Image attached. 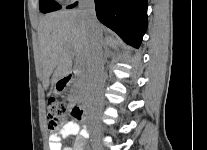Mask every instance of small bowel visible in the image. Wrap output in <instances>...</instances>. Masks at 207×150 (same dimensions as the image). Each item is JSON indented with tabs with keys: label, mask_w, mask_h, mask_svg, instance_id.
<instances>
[{
	"label": "small bowel",
	"mask_w": 207,
	"mask_h": 150,
	"mask_svg": "<svg viewBox=\"0 0 207 150\" xmlns=\"http://www.w3.org/2000/svg\"><path fill=\"white\" fill-rule=\"evenodd\" d=\"M74 136L75 141L72 146H66L65 140ZM89 138L87 129L78 125L74 121H69L59 125V131L49 135V150H85L86 141Z\"/></svg>",
	"instance_id": "small-bowel-1"
}]
</instances>
